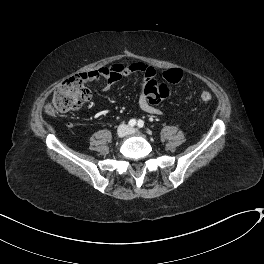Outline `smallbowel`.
I'll return each mask as SVG.
<instances>
[{
	"mask_svg": "<svg viewBox=\"0 0 264 264\" xmlns=\"http://www.w3.org/2000/svg\"><path fill=\"white\" fill-rule=\"evenodd\" d=\"M138 72L144 74V78L141 82L140 93L138 97L139 108L150 115H156V116L161 115L162 110L157 106H155L154 102L151 101L149 98H147L146 95L144 94L145 85L148 82L155 80L156 78V70L151 65L141 62L113 63L104 66L98 70L81 73L79 77L84 82H92V81L100 82L104 80L106 81L107 89H109L112 85L118 82L123 76Z\"/></svg>",
	"mask_w": 264,
	"mask_h": 264,
	"instance_id": "small-bowel-1",
	"label": "small bowel"
}]
</instances>
